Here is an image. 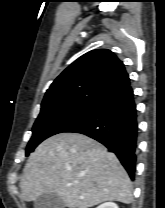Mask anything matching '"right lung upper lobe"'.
<instances>
[{"instance_id":"right-lung-upper-lobe-1","label":"right lung upper lobe","mask_w":165,"mask_h":208,"mask_svg":"<svg viewBox=\"0 0 165 208\" xmlns=\"http://www.w3.org/2000/svg\"><path fill=\"white\" fill-rule=\"evenodd\" d=\"M129 85L125 67L113 52L92 50L74 61L54 80L41 107L70 102L96 104Z\"/></svg>"}]
</instances>
